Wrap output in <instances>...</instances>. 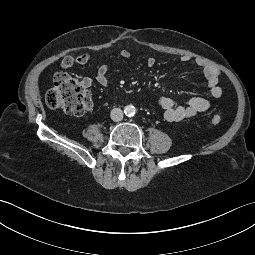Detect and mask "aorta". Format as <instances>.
Wrapping results in <instances>:
<instances>
[{
  "label": "aorta",
  "mask_w": 255,
  "mask_h": 255,
  "mask_svg": "<svg viewBox=\"0 0 255 255\" xmlns=\"http://www.w3.org/2000/svg\"><path fill=\"white\" fill-rule=\"evenodd\" d=\"M124 112L127 116H134L135 115V112H136V109L134 106L132 105H127L125 106L124 108Z\"/></svg>",
  "instance_id": "aorta-1"
}]
</instances>
